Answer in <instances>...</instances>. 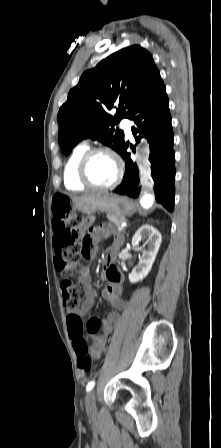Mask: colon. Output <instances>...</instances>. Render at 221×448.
<instances>
[{"label": "colon", "mask_w": 221, "mask_h": 448, "mask_svg": "<svg viewBox=\"0 0 221 448\" xmlns=\"http://www.w3.org/2000/svg\"><path fill=\"white\" fill-rule=\"evenodd\" d=\"M52 212L55 217L54 228V264L56 270L63 276L61 291L63 304L67 309H75L85 295V288L75 283L71 275L83 267L90 256L91 239L78 233L79 216L70 210L69 198L65 195H56L53 198ZM68 215V218H66ZM71 339L74 341L77 356V367L89 372L92 367L89 347L81 339L83 336V322L79 317L69 316L67 320ZM100 329V321L92 316L86 322V331L96 337Z\"/></svg>", "instance_id": "5ec220e1"}]
</instances>
